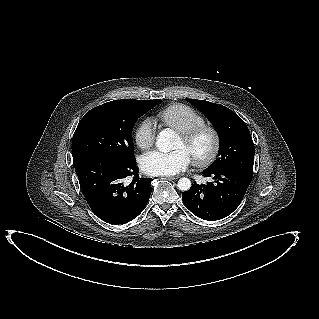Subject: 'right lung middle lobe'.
<instances>
[{
	"instance_id": "dd1d6c3e",
	"label": "right lung middle lobe",
	"mask_w": 319,
	"mask_h": 319,
	"mask_svg": "<svg viewBox=\"0 0 319 319\" xmlns=\"http://www.w3.org/2000/svg\"><path fill=\"white\" fill-rule=\"evenodd\" d=\"M161 102L160 99H121L91 109L73 135V165L97 156H109L122 162L134 159L133 126L139 117Z\"/></svg>"
}]
</instances>
